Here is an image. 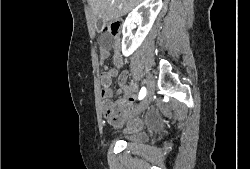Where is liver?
I'll return each mask as SVG.
<instances>
[{"instance_id": "obj_1", "label": "liver", "mask_w": 250, "mask_h": 169, "mask_svg": "<svg viewBox=\"0 0 250 169\" xmlns=\"http://www.w3.org/2000/svg\"><path fill=\"white\" fill-rule=\"evenodd\" d=\"M142 0H88L95 16L103 20H112L118 16H124Z\"/></svg>"}]
</instances>
